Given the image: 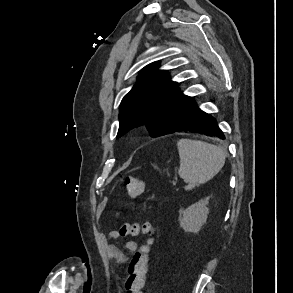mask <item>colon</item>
Masks as SVG:
<instances>
[{
  "mask_svg": "<svg viewBox=\"0 0 293 293\" xmlns=\"http://www.w3.org/2000/svg\"><path fill=\"white\" fill-rule=\"evenodd\" d=\"M122 181L130 198H138L143 193L144 183L140 178L125 177ZM152 231L153 228L150 224L123 223L119 227V233L122 236H137L139 234L151 235ZM152 245L153 239L149 238L132 256L123 281L126 293H142Z\"/></svg>",
  "mask_w": 293,
  "mask_h": 293,
  "instance_id": "1",
  "label": "colon"
}]
</instances>
